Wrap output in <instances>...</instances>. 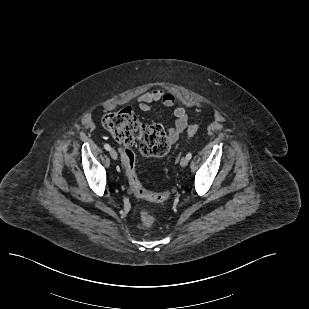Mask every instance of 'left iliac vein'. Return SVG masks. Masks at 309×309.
<instances>
[{
	"mask_svg": "<svg viewBox=\"0 0 309 309\" xmlns=\"http://www.w3.org/2000/svg\"><path fill=\"white\" fill-rule=\"evenodd\" d=\"M188 162H189V160L187 159V157H182L181 160H180V165L182 167H185V166H187Z\"/></svg>",
	"mask_w": 309,
	"mask_h": 309,
	"instance_id": "left-iliac-vein-1",
	"label": "left iliac vein"
}]
</instances>
